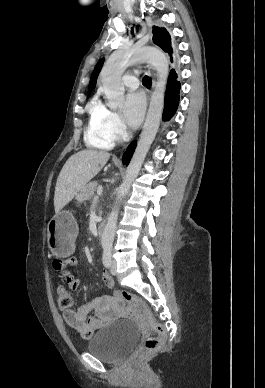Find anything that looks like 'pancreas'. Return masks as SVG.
Here are the masks:
<instances>
[{
	"mask_svg": "<svg viewBox=\"0 0 265 388\" xmlns=\"http://www.w3.org/2000/svg\"><path fill=\"white\" fill-rule=\"evenodd\" d=\"M98 186V182H90V184H86L84 188H81L79 194L76 196L77 202H85V200H91L93 196H95L94 192ZM102 212H100L101 216Z\"/></svg>",
	"mask_w": 265,
	"mask_h": 388,
	"instance_id": "cf45deb5",
	"label": "pancreas"
}]
</instances>
